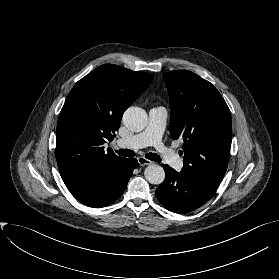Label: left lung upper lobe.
Here are the masks:
<instances>
[{
    "label": "left lung upper lobe",
    "instance_id": "5c2ea615",
    "mask_svg": "<svg viewBox=\"0 0 279 279\" xmlns=\"http://www.w3.org/2000/svg\"><path fill=\"white\" fill-rule=\"evenodd\" d=\"M170 97L172 139L184 141L181 172L218 188L227 170L232 125L230 110L208 81L188 70L164 73Z\"/></svg>",
    "mask_w": 279,
    "mask_h": 279
}]
</instances>
